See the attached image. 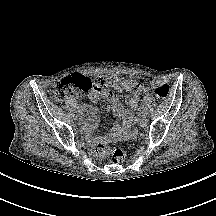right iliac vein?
<instances>
[{
    "label": "right iliac vein",
    "mask_w": 216,
    "mask_h": 216,
    "mask_svg": "<svg viewBox=\"0 0 216 216\" xmlns=\"http://www.w3.org/2000/svg\"><path fill=\"white\" fill-rule=\"evenodd\" d=\"M83 116H84V114H83L82 112H81V113H77V118H78V119H82Z\"/></svg>",
    "instance_id": "obj_1"
}]
</instances>
